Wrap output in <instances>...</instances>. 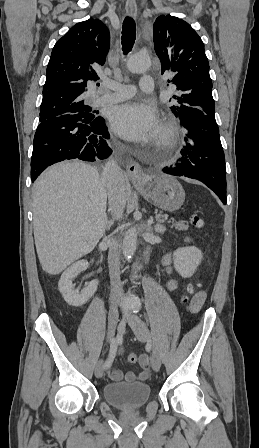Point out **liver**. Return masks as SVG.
<instances>
[{
  "instance_id": "1",
  "label": "liver",
  "mask_w": 259,
  "mask_h": 448,
  "mask_svg": "<svg viewBox=\"0 0 259 448\" xmlns=\"http://www.w3.org/2000/svg\"><path fill=\"white\" fill-rule=\"evenodd\" d=\"M34 240L47 274H60L90 254L107 228V194L97 168L67 160L33 184Z\"/></svg>"
}]
</instances>
